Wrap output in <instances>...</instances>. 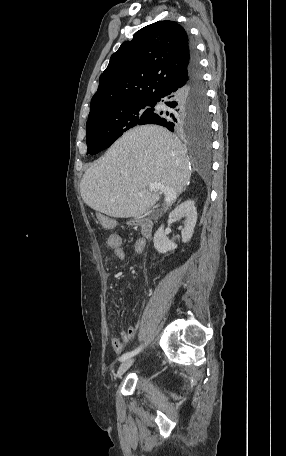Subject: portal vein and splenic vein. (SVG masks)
I'll list each match as a JSON object with an SVG mask.
<instances>
[{
	"label": "portal vein and splenic vein",
	"mask_w": 286,
	"mask_h": 456,
	"mask_svg": "<svg viewBox=\"0 0 286 456\" xmlns=\"http://www.w3.org/2000/svg\"><path fill=\"white\" fill-rule=\"evenodd\" d=\"M148 188L151 191L160 190L161 192H163L165 195V201L167 204L171 203V201H173L175 199L176 193H175L174 189L167 187L161 183H157V182L150 183Z\"/></svg>",
	"instance_id": "1"
}]
</instances>
